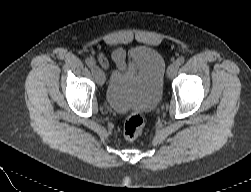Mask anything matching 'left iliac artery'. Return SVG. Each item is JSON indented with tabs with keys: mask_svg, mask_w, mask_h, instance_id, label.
<instances>
[{
	"mask_svg": "<svg viewBox=\"0 0 251 192\" xmlns=\"http://www.w3.org/2000/svg\"><path fill=\"white\" fill-rule=\"evenodd\" d=\"M184 61H185L184 57L181 56V57L177 58L176 64L178 66H180V65H182L184 63Z\"/></svg>",
	"mask_w": 251,
	"mask_h": 192,
	"instance_id": "obj_1",
	"label": "left iliac artery"
}]
</instances>
